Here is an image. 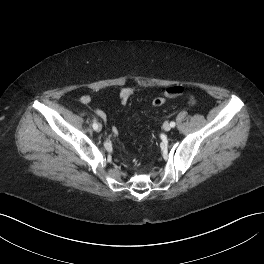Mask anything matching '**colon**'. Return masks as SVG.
Here are the masks:
<instances>
[{
  "mask_svg": "<svg viewBox=\"0 0 264 264\" xmlns=\"http://www.w3.org/2000/svg\"><path fill=\"white\" fill-rule=\"evenodd\" d=\"M188 101H189V104L192 106H195L197 104L196 99L193 96H190ZM164 102H165L164 97H156L152 101L153 105L156 107L163 105Z\"/></svg>",
  "mask_w": 264,
  "mask_h": 264,
  "instance_id": "colon-1",
  "label": "colon"
}]
</instances>
